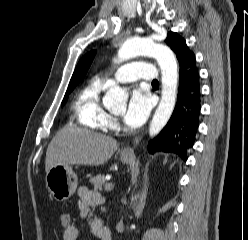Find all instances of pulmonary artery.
Returning a JSON list of instances; mask_svg holds the SVG:
<instances>
[{"label":"pulmonary artery","instance_id":"obj_1","mask_svg":"<svg viewBox=\"0 0 248 240\" xmlns=\"http://www.w3.org/2000/svg\"><path fill=\"white\" fill-rule=\"evenodd\" d=\"M118 82H133L137 80L153 81L158 77L152 64L143 61H132L119 67L113 74Z\"/></svg>","mask_w":248,"mask_h":240}]
</instances>
